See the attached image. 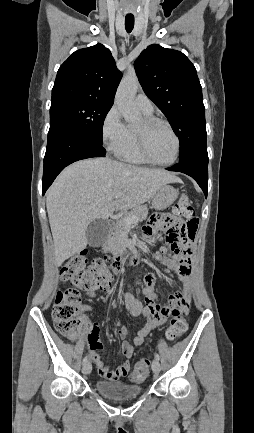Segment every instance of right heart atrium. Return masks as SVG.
Returning <instances> with one entry per match:
<instances>
[{
    "label": "right heart atrium",
    "instance_id": "1",
    "mask_svg": "<svg viewBox=\"0 0 254 433\" xmlns=\"http://www.w3.org/2000/svg\"><path fill=\"white\" fill-rule=\"evenodd\" d=\"M129 136V129L122 120L121 113L116 106H112L103 118L101 124V138L105 148L118 155Z\"/></svg>",
    "mask_w": 254,
    "mask_h": 433
}]
</instances>
